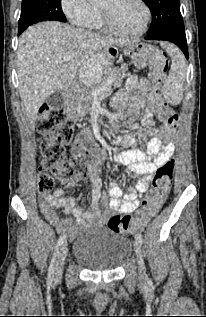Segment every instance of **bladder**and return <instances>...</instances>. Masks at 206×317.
Instances as JSON below:
<instances>
[{"mask_svg":"<svg viewBox=\"0 0 206 317\" xmlns=\"http://www.w3.org/2000/svg\"><path fill=\"white\" fill-rule=\"evenodd\" d=\"M132 251L129 238L97 225L83 228L73 246L74 258L94 271L117 269L129 259Z\"/></svg>","mask_w":206,"mask_h":317,"instance_id":"obj_1","label":"bladder"}]
</instances>
